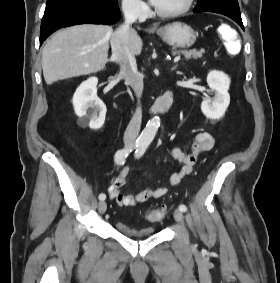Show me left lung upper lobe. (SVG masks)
I'll list each match as a JSON object with an SVG mask.
<instances>
[{
	"label": "left lung upper lobe",
	"instance_id": "left-lung-upper-lobe-1",
	"mask_svg": "<svg viewBox=\"0 0 280 283\" xmlns=\"http://www.w3.org/2000/svg\"><path fill=\"white\" fill-rule=\"evenodd\" d=\"M194 10L215 12L228 17L241 18L238 0H198Z\"/></svg>",
	"mask_w": 280,
	"mask_h": 283
}]
</instances>
